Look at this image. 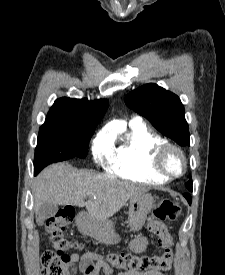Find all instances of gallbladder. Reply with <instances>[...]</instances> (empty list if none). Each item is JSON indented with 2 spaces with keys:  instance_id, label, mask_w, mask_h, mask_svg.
Returning a JSON list of instances; mask_svg holds the SVG:
<instances>
[{
  "instance_id": "bac80fb5",
  "label": "gallbladder",
  "mask_w": 225,
  "mask_h": 275,
  "mask_svg": "<svg viewBox=\"0 0 225 275\" xmlns=\"http://www.w3.org/2000/svg\"><path fill=\"white\" fill-rule=\"evenodd\" d=\"M58 211V206L52 203H44L38 210L37 219L38 223L41 225L47 219L53 217Z\"/></svg>"
}]
</instances>
